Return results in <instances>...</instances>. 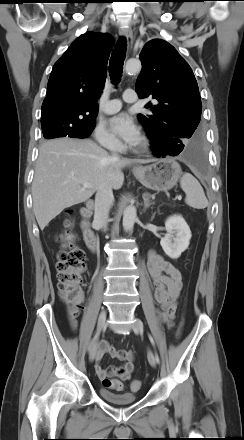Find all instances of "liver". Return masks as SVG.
<instances>
[{
    "mask_svg": "<svg viewBox=\"0 0 244 440\" xmlns=\"http://www.w3.org/2000/svg\"><path fill=\"white\" fill-rule=\"evenodd\" d=\"M152 159H112L106 150L89 139L59 138L39 149L32 183L33 211L41 230L65 208L85 202L103 183L118 190L121 171L131 163ZM81 182L90 183L84 188Z\"/></svg>",
    "mask_w": 244,
    "mask_h": 440,
    "instance_id": "1",
    "label": "liver"
}]
</instances>
